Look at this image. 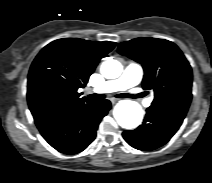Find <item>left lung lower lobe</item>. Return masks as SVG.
<instances>
[{
    "label": "left lung lower lobe",
    "instance_id": "left-lung-lower-lobe-1",
    "mask_svg": "<svg viewBox=\"0 0 212 183\" xmlns=\"http://www.w3.org/2000/svg\"><path fill=\"white\" fill-rule=\"evenodd\" d=\"M146 112L142 125L122 134L128 144L144 151L154 150L167 143L179 129L186 115L182 111L152 105Z\"/></svg>",
    "mask_w": 212,
    "mask_h": 183
}]
</instances>
